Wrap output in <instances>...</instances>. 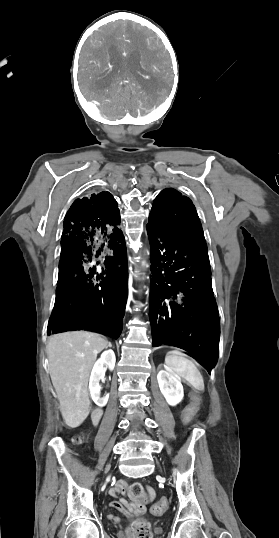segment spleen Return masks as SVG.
Listing matches in <instances>:
<instances>
[{
    "mask_svg": "<svg viewBox=\"0 0 279 538\" xmlns=\"http://www.w3.org/2000/svg\"><path fill=\"white\" fill-rule=\"evenodd\" d=\"M165 364L174 374L186 378L187 383L194 388L193 392L195 394L204 393V380L201 378L199 370L191 360H188L186 354L179 352L178 348L166 354Z\"/></svg>",
    "mask_w": 279,
    "mask_h": 538,
    "instance_id": "obj_1",
    "label": "spleen"
}]
</instances>
